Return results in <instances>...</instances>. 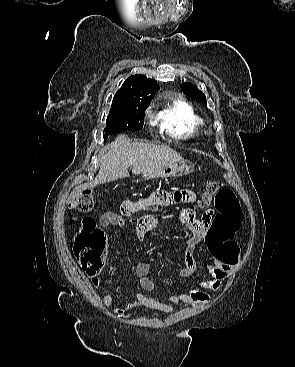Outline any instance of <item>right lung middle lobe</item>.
<instances>
[{
  "label": "right lung middle lobe",
  "instance_id": "right-lung-middle-lobe-1",
  "mask_svg": "<svg viewBox=\"0 0 295 367\" xmlns=\"http://www.w3.org/2000/svg\"><path fill=\"white\" fill-rule=\"evenodd\" d=\"M149 104V102H134L121 106H111L104 136L107 137L126 130L137 131L142 129L144 113Z\"/></svg>",
  "mask_w": 295,
  "mask_h": 367
}]
</instances>
